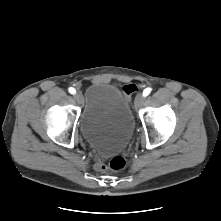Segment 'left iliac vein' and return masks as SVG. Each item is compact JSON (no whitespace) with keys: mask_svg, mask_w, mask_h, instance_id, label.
Wrapping results in <instances>:
<instances>
[{"mask_svg":"<svg viewBox=\"0 0 221 221\" xmlns=\"http://www.w3.org/2000/svg\"><path fill=\"white\" fill-rule=\"evenodd\" d=\"M144 100H145L144 95L142 93H138L134 101L135 108L139 109L143 105Z\"/></svg>","mask_w":221,"mask_h":221,"instance_id":"1","label":"left iliac vein"}]
</instances>
